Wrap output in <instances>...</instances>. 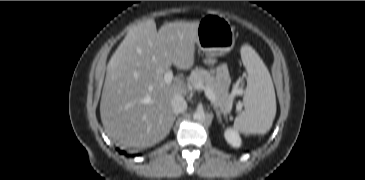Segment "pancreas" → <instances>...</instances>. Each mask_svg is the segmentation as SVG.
<instances>
[{
	"label": "pancreas",
	"instance_id": "pancreas-1",
	"mask_svg": "<svg viewBox=\"0 0 365 180\" xmlns=\"http://www.w3.org/2000/svg\"><path fill=\"white\" fill-rule=\"evenodd\" d=\"M190 82L196 89H209L216 96L215 105L224 113L230 112L232 98L228 88L221 85L210 73L203 68H195L190 75Z\"/></svg>",
	"mask_w": 365,
	"mask_h": 180
}]
</instances>
